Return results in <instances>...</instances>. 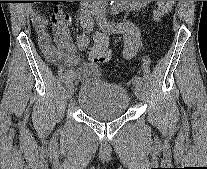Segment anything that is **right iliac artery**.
<instances>
[{"instance_id": "obj_1", "label": "right iliac artery", "mask_w": 207, "mask_h": 169, "mask_svg": "<svg viewBox=\"0 0 207 169\" xmlns=\"http://www.w3.org/2000/svg\"><path fill=\"white\" fill-rule=\"evenodd\" d=\"M99 10V7L95 6L93 10L91 11V14L94 15ZM92 23L86 28V30L79 36L77 42L79 44V47L82 49H85L88 46L89 39H88V33L90 32ZM65 78L68 81H72L74 79V75L71 73H66Z\"/></svg>"}]
</instances>
